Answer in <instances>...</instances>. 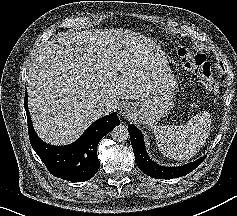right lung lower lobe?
I'll return each mask as SVG.
<instances>
[{"label": "right lung lower lobe", "mask_w": 237, "mask_h": 216, "mask_svg": "<svg viewBox=\"0 0 237 216\" xmlns=\"http://www.w3.org/2000/svg\"><path fill=\"white\" fill-rule=\"evenodd\" d=\"M24 106L31 145L49 172L58 178L72 182H84L91 179L100 167L97 145L106 134L120 124L117 113L93 122L72 144L53 146L44 143L34 131L27 106V92Z\"/></svg>", "instance_id": "98d812e1"}]
</instances>
